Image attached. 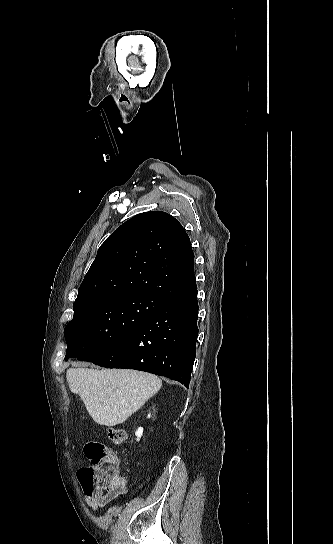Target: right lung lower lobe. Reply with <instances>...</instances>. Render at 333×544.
I'll return each instance as SVG.
<instances>
[{"label":"right lung lower lobe","instance_id":"1","mask_svg":"<svg viewBox=\"0 0 333 544\" xmlns=\"http://www.w3.org/2000/svg\"><path fill=\"white\" fill-rule=\"evenodd\" d=\"M197 287L173 297L134 332L81 360L150 372L189 387L198 336Z\"/></svg>","mask_w":333,"mask_h":544}]
</instances>
